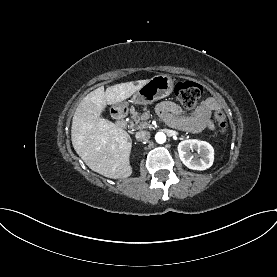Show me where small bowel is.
Masks as SVG:
<instances>
[{"label": "small bowel", "instance_id": "obj_1", "mask_svg": "<svg viewBox=\"0 0 277 277\" xmlns=\"http://www.w3.org/2000/svg\"><path fill=\"white\" fill-rule=\"evenodd\" d=\"M219 109L220 103L212 97L205 98L190 116L184 115L182 109L172 101H163L157 106L158 114L168 125L192 133L213 129L211 115Z\"/></svg>", "mask_w": 277, "mask_h": 277}]
</instances>
